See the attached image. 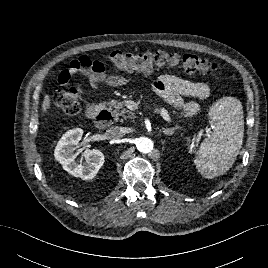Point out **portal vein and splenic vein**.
<instances>
[{
    "instance_id": "obj_1",
    "label": "portal vein and splenic vein",
    "mask_w": 268,
    "mask_h": 268,
    "mask_svg": "<svg viewBox=\"0 0 268 268\" xmlns=\"http://www.w3.org/2000/svg\"><path fill=\"white\" fill-rule=\"evenodd\" d=\"M158 113H160V115L162 116V118L167 121V122H171V117L168 113V111L165 108H160L158 109Z\"/></svg>"
}]
</instances>
